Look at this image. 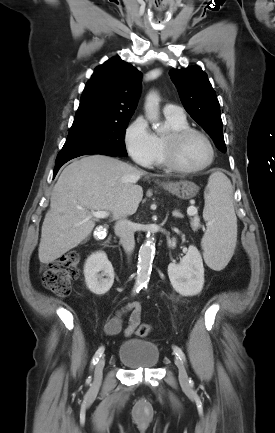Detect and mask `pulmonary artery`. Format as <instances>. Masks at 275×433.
<instances>
[{
  "label": "pulmonary artery",
  "mask_w": 275,
  "mask_h": 433,
  "mask_svg": "<svg viewBox=\"0 0 275 433\" xmlns=\"http://www.w3.org/2000/svg\"><path fill=\"white\" fill-rule=\"evenodd\" d=\"M164 115L175 118L185 117L184 111L181 107L174 104H167L163 109Z\"/></svg>",
  "instance_id": "obj_1"
}]
</instances>
